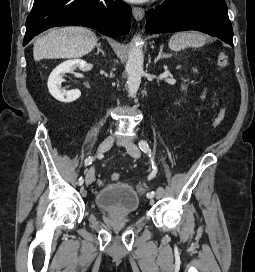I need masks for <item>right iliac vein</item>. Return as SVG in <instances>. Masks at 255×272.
I'll list each match as a JSON object with an SVG mask.
<instances>
[{
    "label": "right iliac vein",
    "instance_id": "right-iliac-vein-1",
    "mask_svg": "<svg viewBox=\"0 0 255 272\" xmlns=\"http://www.w3.org/2000/svg\"><path fill=\"white\" fill-rule=\"evenodd\" d=\"M114 143V138L113 136L107 137L99 146L98 152L99 153H104L108 151ZM95 177V171L94 168H90L89 171L86 174L85 182L86 185H90L94 181Z\"/></svg>",
    "mask_w": 255,
    "mask_h": 272
}]
</instances>
